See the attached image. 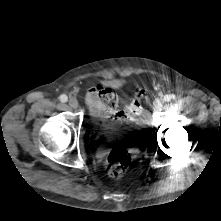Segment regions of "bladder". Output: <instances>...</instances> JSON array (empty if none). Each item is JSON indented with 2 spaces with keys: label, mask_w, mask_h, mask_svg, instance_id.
Wrapping results in <instances>:
<instances>
[{
  "label": "bladder",
  "mask_w": 221,
  "mask_h": 221,
  "mask_svg": "<svg viewBox=\"0 0 221 221\" xmlns=\"http://www.w3.org/2000/svg\"><path fill=\"white\" fill-rule=\"evenodd\" d=\"M129 127L121 126V124L115 122H108L104 133L110 136H120L128 131Z\"/></svg>",
  "instance_id": "31cf9c89"
}]
</instances>
